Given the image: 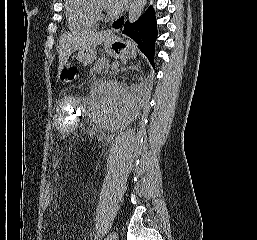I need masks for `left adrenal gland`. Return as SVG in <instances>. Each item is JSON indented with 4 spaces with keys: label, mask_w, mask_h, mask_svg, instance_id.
Instances as JSON below:
<instances>
[{
    "label": "left adrenal gland",
    "mask_w": 257,
    "mask_h": 240,
    "mask_svg": "<svg viewBox=\"0 0 257 240\" xmlns=\"http://www.w3.org/2000/svg\"><path fill=\"white\" fill-rule=\"evenodd\" d=\"M128 69H137V67H136V66H130V67H128V68L123 67V68H121L120 70H118V72H123V71H126V70H128Z\"/></svg>",
    "instance_id": "obj_1"
}]
</instances>
